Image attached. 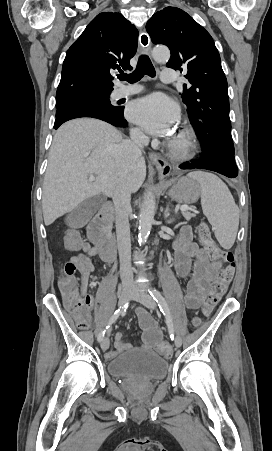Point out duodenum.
Returning a JSON list of instances; mask_svg holds the SVG:
<instances>
[{
	"instance_id": "410a0bca",
	"label": "duodenum",
	"mask_w": 272,
	"mask_h": 451,
	"mask_svg": "<svg viewBox=\"0 0 272 451\" xmlns=\"http://www.w3.org/2000/svg\"><path fill=\"white\" fill-rule=\"evenodd\" d=\"M113 219V208L109 203L104 204L96 217L88 226V237L97 248L98 254L104 261H112L115 258L116 247L113 237L108 229Z\"/></svg>"
}]
</instances>
